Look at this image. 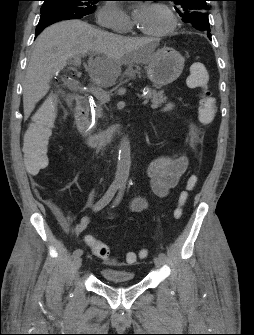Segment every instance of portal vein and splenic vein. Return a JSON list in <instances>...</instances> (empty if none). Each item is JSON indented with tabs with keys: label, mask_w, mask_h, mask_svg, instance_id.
I'll list each match as a JSON object with an SVG mask.
<instances>
[{
	"label": "portal vein and splenic vein",
	"mask_w": 254,
	"mask_h": 335,
	"mask_svg": "<svg viewBox=\"0 0 254 335\" xmlns=\"http://www.w3.org/2000/svg\"><path fill=\"white\" fill-rule=\"evenodd\" d=\"M73 65L75 66H80L81 64V57L80 56H76L74 58V60L72 61ZM89 91L97 98L99 99L100 101L102 102H108L110 101V95L105 92V91H102L94 86H92ZM149 102V100L146 98L143 100L142 104L143 105H146L147 103Z\"/></svg>",
	"instance_id": "obj_1"
}]
</instances>
